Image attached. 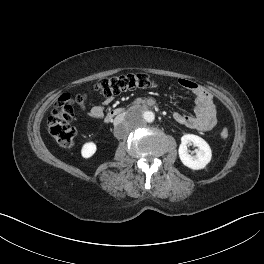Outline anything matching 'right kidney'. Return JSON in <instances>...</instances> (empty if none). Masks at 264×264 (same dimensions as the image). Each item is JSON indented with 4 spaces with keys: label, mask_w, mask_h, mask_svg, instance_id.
Segmentation results:
<instances>
[{
    "label": "right kidney",
    "mask_w": 264,
    "mask_h": 264,
    "mask_svg": "<svg viewBox=\"0 0 264 264\" xmlns=\"http://www.w3.org/2000/svg\"><path fill=\"white\" fill-rule=\"evenodd\" d=\"M97 150V146L94 142H86L81 149L82 157L90 158L92 157Z\"/></svg>",
    "instance_id": "obj_1"
}]
</instances>
